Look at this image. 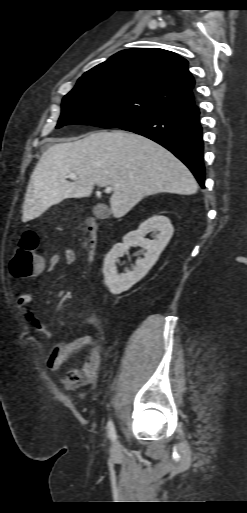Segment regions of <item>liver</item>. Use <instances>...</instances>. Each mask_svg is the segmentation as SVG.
Instances as JSON below:
<instances>
[{
  "label": "liver",
  "mask_w": 247,
  "mask_h": 513,
  "mask_svg": "<svg viewBox=\"0 0 247 513\" xmlns=\"http://www.w3.org/2000/svg\"><path fill=\"white\" fill-rule=\"evenodd\" d=\"M71 173L77 175L74 182L66 180ZM95 185L113 187L110 205L115 218L145 196L192 195L198 190L190 170L155 141L121 130L97 131L55 144L42 154L31 175L24 214L35 218L64 199L88 197Z\"/></svg>",
  "instance_id": "6515ba94"
}]
</instances>
